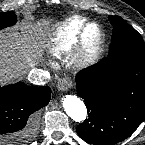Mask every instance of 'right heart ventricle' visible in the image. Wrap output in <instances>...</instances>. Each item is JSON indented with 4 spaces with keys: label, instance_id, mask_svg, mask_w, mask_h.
I'll use <instances>...</instances> for the list:
<instances>
[{
    "label": "right heart ventricle",
    "instance_id": "e07e8e85",
    "mask_svg": "<svg viewBox=\"0 0 145 145\" xmlns=\"http://www.w3.org/2000/svg\"><path fill=\"white\" fill-rule=\"evenodd\" d=\"M86 23L82 17H73L55 28L49 38L47 50L51 57L69 54L77 45L81 27Z\"/></svg>",
    "mask_w": 145,
    "mask_h": 145
}]
</instances>
